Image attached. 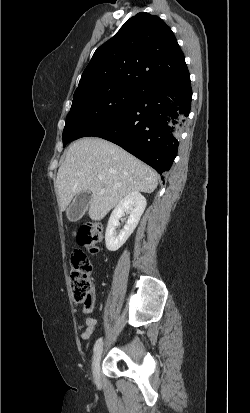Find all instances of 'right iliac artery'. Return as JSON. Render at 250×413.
<instances>
[{"label": "right iliac artery", "mask_w": 250, "mask_h": 413, "mask_svg": "<svg viewBox=\"0 0 250 413\" xmlns=\"http://www.w3.org/2000/svg\"><path fill=\"white\" fill-rule=\"evenodd\" d=\"M102 338H99L97 341H96V343H95V345H94V352L95 351H97L99 348H100V346H101V344H102Z\"/></svg>", "instance_id": "82829eb1"}]
</instances>
